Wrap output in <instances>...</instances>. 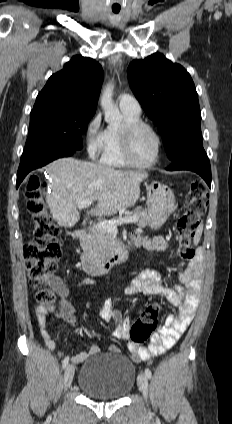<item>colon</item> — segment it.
<instances>
[{
  "mask_svg": "<svg viewBox=\"0 0 232 424\" xmlns=\"http://www.w3.org/2000/svg\"><path fill=\"white\" fill-rule=\"evenodd\" d=\"M25 197L34 224V236L23 250L29 281L36 290L37 301L56 310L57 281L53 273L59 259L57 244L59 229L49 215L39 177L29 178ZM186 203V209L177 221L178 256L183 261H188L194 256L191 242L207 209L208 196L203 182L193 180L189 183ZM160 312L159 302L151 303L142 312L130 329V339L133 343L142 344L151 336L157 327Z\"/></svg>",
  "mask_w": 232,
  "mask_h": 424,
  "instance_id": "colon-1",
  "label": "colon"
}]
</instances>
